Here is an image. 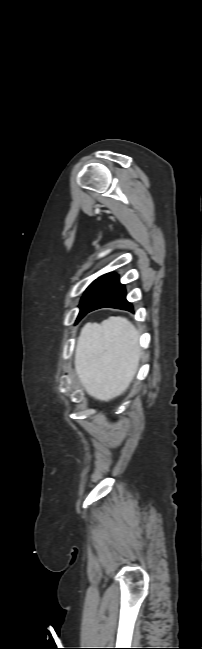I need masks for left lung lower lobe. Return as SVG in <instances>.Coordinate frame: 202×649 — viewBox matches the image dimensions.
<instances>
[{
    "label": "left lung lower lobe",
    "instance_id": "1",
    "mask_svg": "<svg viewBox=\"0 0 202 649\" xmlns=\"http://www.w3.org/2000/svg\"><path fill=\"white\" fill-rule=\"evenodd\" d=\"M104 307L134 312L132 304L126 300V290L124 285L119 282L118 275H115L100 295L86 307L82 316L77 319V322L87 313Z\"/></svg>",
    "mask_w": 202,
    "mask_h": 649
}]
</instances>
